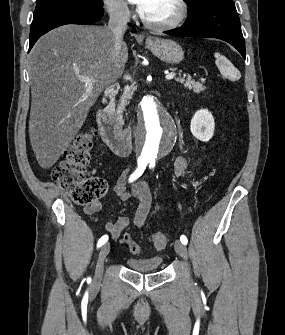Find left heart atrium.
Returning a JSON list of instances; mask_svg holds the SVG:
<instances>
[{
	"instance_id": "left-heart-atrium-1",
	"label": "left heart atrium",
	"mask_w": 285,
	"mask_h": 335,
	"mask_svg": "<svg viewBox=\"0 0 285 335\" xmlns=\"http://www.w3.org/2000/svg\"><path fill=\"white\" fill-rule=\"evenodd\" d=\"M133 2L136 6V10L139 16L145 20L150 10L151 1H133Z\"/></svg>"
}]
</instances>
